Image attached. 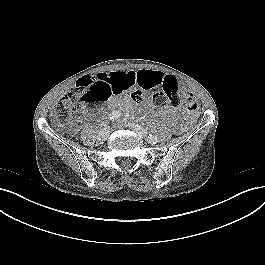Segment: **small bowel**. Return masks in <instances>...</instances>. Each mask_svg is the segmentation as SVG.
Segmentation results:
<instances>
[{
    "mask_svg": "<svg viewBox=\"0 0 265 265\" xmlns=\"http://www.w3.org/2000/svg\"><path fill=\"white\" fill-rule=\"evenodd\" d=\"M95 76H105L107 78V84L111 88L113 95H121L135 86H138L146 91L156 89L160 87L167 75L158 70H140L99 73ZM185 95L187 96L189 94ZM111 104L114 106L121 105L126 108L132 107L129 100L120 102L114 99ZM163 112L165 114H172L173 109L171 107H167Z\"/></svg>",
    "mask_w": 265,
    "mask_h": 265,
    "instance_id": "obj_1",
    "label": "small bowel"
}]
</instances>
